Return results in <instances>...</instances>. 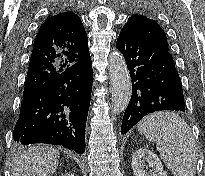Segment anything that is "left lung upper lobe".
<instances>
[{"label": "left lung upper lobe", "mask_w": 205, "mask_h": 176, "mask_svg": "<svg viewBox=\"0 0 205 176\" xmlns=\"http://www.w3.org/2000/svg\"><path fill=\"white\" fill-rule=\"evenodd\" d=\"M123 28L130 30L143 41L169 50L165 32L160 25L143 15H132Z\"/></svg>", "instance_id": "obj_1"}]
</instances>
